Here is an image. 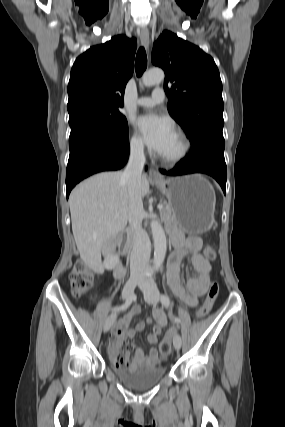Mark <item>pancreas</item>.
Listing matches in <instances>:
<instances>
[{
	"instance_id": "pancreas-1",
	"label": "pancreas",
	"mask_w": 285,
	"mask_h": 427,
	"mask_svg": "<svg viewBox=\"0 0 285 427\" xmlns=\"http://www.w3.org/2000/svg\"><path fill=\"white\" fill-rule=\"evenodd\" d=\"M163 205H164V208L160 210V216L162 220H164L165 222H173L174 215L172 213V209L170 205L166 202H163Z\"/></svg>"
}]
</instances>
